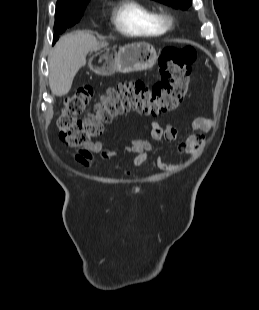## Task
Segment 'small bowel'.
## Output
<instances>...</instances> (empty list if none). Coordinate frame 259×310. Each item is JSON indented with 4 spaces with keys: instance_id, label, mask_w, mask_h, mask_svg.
<instances>
[{
    "instance_id": "c3829d8e",
    "label": "small bowel",
    "mask_w": 259,
    "mask_h": 310,
    "mask_svg": "<svg viewBox=\"0 0 259 310\" xmlns=\"http://www.w3.org/2000/svg\"><path fill=\"white\" fill-rule=\"evenodd\" d=\"M215 122L211 119L198 117L193 119L185 129L193 130L197 133L191 134L185 141L180 142L176 151L178 153L193 154L203 148L206 144V138L203 132L213 129ZM180 130L171 124L162 126L158 122H153L149 131L140 137L129 138L125 144H114L106 147L104 141L98 140L78 149L73 153V158L85 167H92L95 164V154H98L103 161H108L119 150L124 149L134 153L132 159L133 166L139 169L147 163L153 151V144L158 141L174 142L179 136ZM156 164L160 169L172 170L181 167V164L165 162L161 155L156 157ZM126 176H131L132 171L125 169Z\"/></svg>"
}]
</instances>
